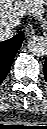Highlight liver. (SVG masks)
Segmentation results:
<instances>
[{"instance_id": "liver-1", "label": "liver", "mask_w": 47, "mask_h": 129, "mask_svg": "<svg viewBox=\"0 0 47 129\" xmlns=\"http://www.w3.org/2000/svg\"><path fill=\"white\" fill-rule=\"evenodd\" d=\"M44 0H0V28L20 22L25 15L37 13Z\"/></svg>"}]
</instances>
